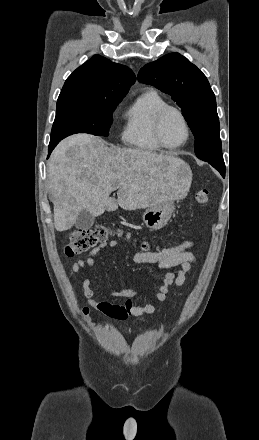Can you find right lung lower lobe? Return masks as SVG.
<instances>
[{
  "instance_id": "obj_1",
  "label": "right lung lower lobe",
  "mask_w": 259,
  "mask_h": 440,
  "mask_svg": "<svg viewBox=\"0 0 259 440\" xmlns=\"http://www.w3.org/2000/svg\"><path fill=\"white\" fill-rule=\"evenodd\" d=\"M58 142H59V141H54V142L50 141V144H49V150H48L49 155L51 154V152H52V150L55 148V146L58 144Z\"/></svg>"
}]
</instances>
